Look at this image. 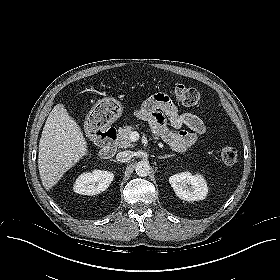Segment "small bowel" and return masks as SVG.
<instances>
[{
    "label": "small bowel",
    "mask_w": 280,
    "mask_h": 280,
    "mask_svg": "<svg viewBox=\"0 0 280 280\" xmlns=\"http://www.w3.org/2000/svg\"><path fill=\"white\" fill-rule=\"evenodd\" d=\"M135 115L148 121L154 132L177 152L189 150L206 133V125L200 117L180 112L162 93L149 97ZM184 126L189 130L182 129Z\"/></svg>",
    "instance_id": "small-bowel-1"
}]
</instances>
